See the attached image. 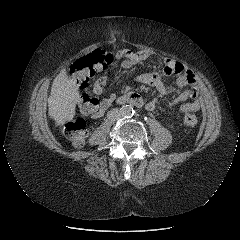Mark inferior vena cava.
<instances>
[{
  "label": "inferior vena cava",
  "instance_id": "inferior-vena-cava-1",
  "mask_svg": "<svg viewBox=\"0 0 240 240\" xmlns=\"http://www.w3.org/2000/svg\"><path fill=\"white\" fill-rule=\"evenodd\" d=\"M122 117V114L120 112V110L114 108V109H111L110 111H108L107 113V118L110 120V121H117L119 120L120 118Z\"/></svg>",
  "mask_w": 240,
  "mask_h": 240
}]
</instances>
